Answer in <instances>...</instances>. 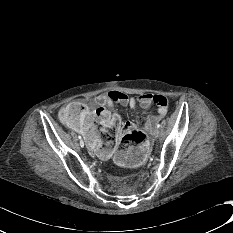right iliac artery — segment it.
<instances>
[{
	"label": "right iliac artery",
	"instance_id": "1",
	"mask_svg": "<svg viewBox=\"0 0 233 233\" xmlns=\"http://www.w3.org/2000/svg\"><path fill=\"white\" fill-rule=\"evenodd\" d=\"M79 139H81V136H78ZM84 145H81V147H83Z\"/></svg>",
	"mask_w": 233,
	"mask_h": 233
}]
</instances>
